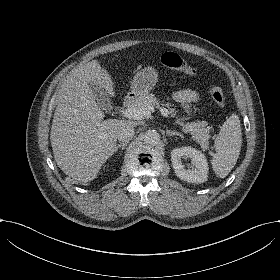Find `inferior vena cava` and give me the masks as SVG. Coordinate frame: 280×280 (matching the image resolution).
<instances>
[{
    "label": "inferior vena cava",
    "instance_id": "inferior-vena-cava-1",
    "mask_svg": "<svg viewBox=\"0 0 280 280\" xmlns=\"http://www.w3.org/2000/svg\"><path fill=\"white\" fill-rule=\"evenodd\" d=\"M135 129L131 125H123L117 131V137L121 142H127L134 135Z\"/></svg>",
    "mask_w": 280,
    "mask_h": 280
}]
</instances>
